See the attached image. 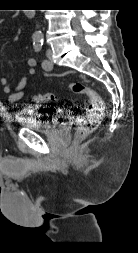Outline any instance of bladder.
I'll list each match as a JSON object with an SVG mask.
<instances>
[{"instance_id":"bladder-1","label":"bladder","mask_w":138,"mask_h":253,"mask_svg":"<svg viewBox=\"0 0 138 253\" xmlns=\"http://www.w3.org/2000/svg\"><path fill=\"white\" fill-rule=\"evenodd\" d=\"M43 111V107L35 106L30 109H24L21 112L20 125L40 133H51L62 126L53 115L44 113Z\"/></svg>"}]
</instances>
